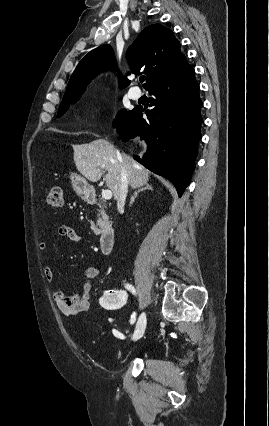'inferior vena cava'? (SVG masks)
Returning <instances> with one entry per match:
<instances>
[{
  "mask_svg": "<svg viewBox=\"0 0 269 426\" xmlns=\"http://www.w3.org/2000/svg\"><path fill=\"white\" fill-rule=\"evenodd\" d=\"M127 193H128L127 174H126L125 168L121 166L119 193L117 198V207L120 212L123 211L124 209Z\"/></svg>",
  "mask_w": 269,
  "mask_h": 426,
  "instance_id": "obj_1",
  "label": "inferior vena cava"
}]
</instances>
